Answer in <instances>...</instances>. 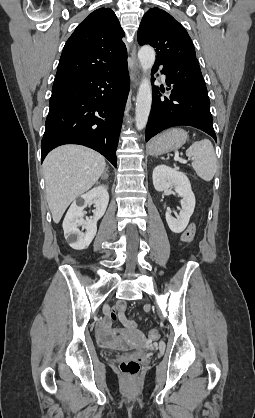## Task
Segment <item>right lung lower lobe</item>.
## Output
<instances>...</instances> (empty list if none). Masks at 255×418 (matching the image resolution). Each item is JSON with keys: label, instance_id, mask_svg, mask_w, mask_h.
<instances>
[{"label": "right lung lower lobe", "instance_id": "98d812e1", "mask_svg": "<svg viewBox=\"0 0 255 418\" xmlns=\"http://www.w3.org/2000/svg\"><path fill=\"white\" fill-rule=\"evenodd\" d=\"M130 88L127 63L54 81L41 142V161L55 147L80 144L116 167V149Z\"/></svg>", "mask_w": 255, "mask_h": 418}]
</instances>
